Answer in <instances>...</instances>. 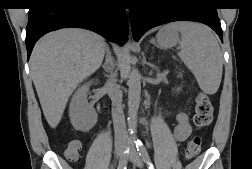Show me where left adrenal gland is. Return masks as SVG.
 I'll use <instances>...</instances> for the list:
<instances>
[{
  "label": "left adrenal gland",
  "instance_id": "1",
  "mask_svg": "<svg viewBox=\"0 0 252 169\" xmlns=\"http://www.w3.org/2000/svg\"><path fill=\"white\" fill-rule=\"evenodd\" d=\"M150 43H152V44H154V45H156V46L158 47V45L156 44V42H155L154 39H152V40L150 41Z\"/></svg>",
  "mask_w": 252,
  "mask_h": 169
}]
</instances>
